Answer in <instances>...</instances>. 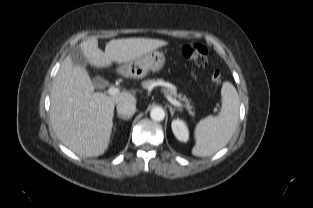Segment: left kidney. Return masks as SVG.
<instances>
[{
    "label": "left kidney",
    "mask_w": 313,
    "mask_h": 208,
    "mask_svg": "<svg viewBox=\"0 0 313 208\" xmlns=\"http://www.w3.org/2000/svg\"><path fill=\"white\" fill-rule=\"evenodd\" d=\"M172 131L179 141L187 142L189 139V131L183 120L175 119L171 123Z\"/></svg>",
    "instance_id": "obj_1"
}]
</instances>
